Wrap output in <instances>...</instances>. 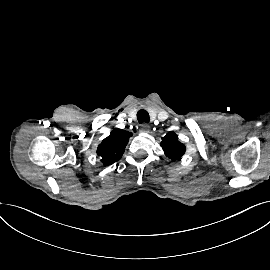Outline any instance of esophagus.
Here are the masks:
<instances>
[{
    "mask_svg": "<svg viewBox=\"0 0 270 270\" xmlns=\"http://www.w3.org/2000/svg\"><path fill=\"white\" fill-rule=\"evenodd\" d=\"M150 126L146 123L142 124L140 127V132H149Z\"/></svg>",
    "mask_w": 270,
    "mask_h": 270,
    "instance_id": "1",
    "label": "esophagus"
}]
</instances>
